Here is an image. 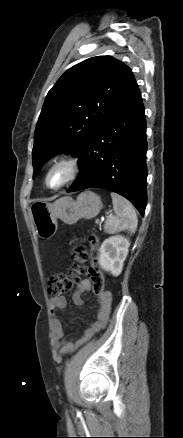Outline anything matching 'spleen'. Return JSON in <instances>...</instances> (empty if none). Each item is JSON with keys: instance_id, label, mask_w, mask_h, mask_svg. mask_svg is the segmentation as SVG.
Returning a JSON list of instances; mask_svg holds the SVG:
<instances>
[{"instance_id": "3e777b00", "label": "spleen", "mask_w": 183, "mask_h": 438, "mask_svg": "<svg viewBox=\"0 0 183 438\" xmlns=\"http://www.w3.org/2000/svg\"><path fill=\"white\" fill-rule=\"evenodd\" d=\"M115 215H109L105 221L104 231L114 234L127 230L134 234L137 229L138 219L132 204L124 197L111 193Z\"/></svg>"}]
</instances>
